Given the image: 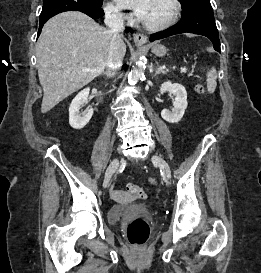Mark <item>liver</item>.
Returning <instances> with one entry per match:
<instances>
[{"label": "liver", "instance_id": "obj_1", "mask_svg": "<svg viewBox=\"0 0 261 273\" xmlns=\"http://www.w3.org/2000/svg\"><path fill=\"white\" fill-rule=\"evenodd\" d=\"M111 39L110 30L78 11L60 13L47 21L36 44L42 113L104 71ZM119 49L124 57L126 45L122 38ZM85 68L90 71L85 72Z\"/></svg>", "mask_w": 261, "mask_h": 273}]
</instances>
